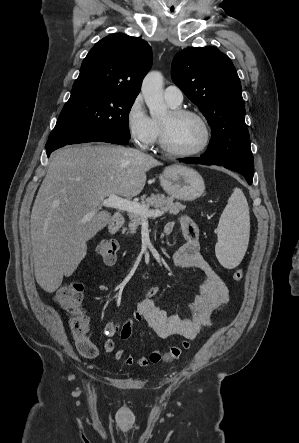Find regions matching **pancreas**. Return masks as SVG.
<instances>
[{
	"instance_id": "cf45deb5",
	"label": "pancreas",
	"mask_w": 299,
	"mask_h": 443,
	"mask_svg": "<svg viewBox=\"0 0 299 443\" xmlns=\"http://www.w3.org/2000/svg\"><path fill=\"white\" fill-rule=\"evenodd\" d=\"M140 205L146 208L153 207L155 210L168 212L172 215H177L180 210L185 209V206L180 202H174L173 198L165 197L161 194H152L150 197L142 200ZM128 216L130 219L128 233L134 234L138 226L142 224L144 218L136 213H129ZM125 230L126 229H123V232Z\"/></svg>"
}]
</instances>
